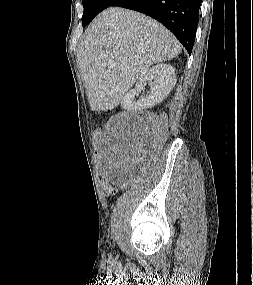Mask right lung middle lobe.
Here are the masks:
<instances>
[{"mask_svg":"<svg viewBox=\"0 0 253 285\" xmlns=\"http://www.w3.org/2000/svg\"><path fill=\"white\" fill-rule=\"evenodd\" d=\"M114 1L115 0H82L84 6L82 25L86 26L98 13L109 7Z\"/></svg>","mask_w":253,"mask_h":285,"instance_id":"1","label":"right lung middle lobe"}]
</instances>
